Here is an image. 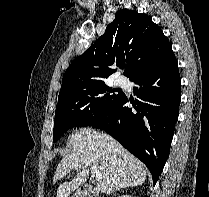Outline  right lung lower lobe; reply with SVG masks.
<instances>
[{"label": "right lung lower lobe", "mask_w": 209, "mask_h": 197, "mask_svg": "<svg viewBox=\"0 0 209 197\" xmlns=\"http://www.w3.org/2000/svg\"><path fill=\"white\" fill-rule=\"evenodd\" d=\"M135 101L125 94L88 125L105 130L150 170L155 184L169 155L180 105L181 79L172 52L131 79ZM132 103L134 108H128Z\"/></svg>", "instance_id": "right-lung-lower-lobe-1"}]
</instances>
